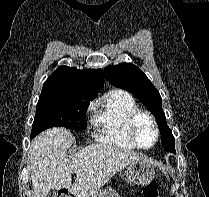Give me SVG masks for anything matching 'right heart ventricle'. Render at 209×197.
I'll list each match as a JSON object with an SVG mask.
<instances>
[{
  "label": "right heart ventricle",
  "mask_w": 209,
  "mask_h": 197,
  "mask_svg": "<svg viewBox=\"0 0 209 197\" xmlns=\"http://www.w3.org/2000/svg\"><path fill=\"white\" fill-rule=\"evenodd\" d=\"M134 97L123 90L109 92L98 104L92 118L97 138L103 143L123 149H135L128 132L129 118L138 110Z\"/></svg>",
  "instance_id": "obj_1"
}]
</instances>
